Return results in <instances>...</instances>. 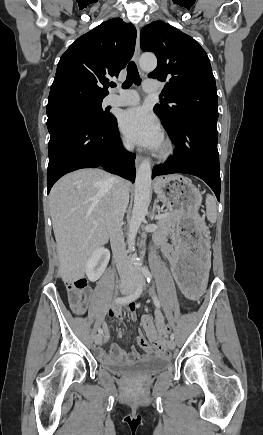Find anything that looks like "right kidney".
<instances>
[{
  "label": "right kidney",
  "mask_w": 263,
  "mask_h": 435,
  "mask_svg": "<svg viewBox=\"0 0 263 435\" xmlns=\"http://www.w3.org/2000/svg\"><path fill=\"white\" fill-rule=\"evenodd\" d=\"M110 259V253L105 248L93 251L86 264V275L90 281L98 280L105 271Z\"/></svg>",
  "instance_id": "obj_1"
}]
</instances>
